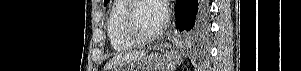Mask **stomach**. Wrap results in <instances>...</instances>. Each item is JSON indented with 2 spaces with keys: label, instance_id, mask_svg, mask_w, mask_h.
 Returning a JSON list of instances; mask_svg holds the SVG:
<instances>
[{
  "label": "stomach",
  "instance_id": "obj_1",
  "mask_svg": "<svg viewBox=\"0 0 301 71\" xmlns=\"http://www.w3.org/2000/svg\"><path fill=\"white\" fill-rule=\"evenodd\" d=\"M175 65L170 52H154L137 61L114 66L111 71H174Z\"/></svg>",
  "mask_w": 301,
  "mask_h": 71
}]
</instances>
